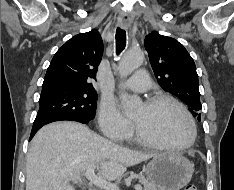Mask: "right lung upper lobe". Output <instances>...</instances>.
I'll use <instances>...</instances> for the list:
<instances>
[{
	"label": "right lung upper lobe",
	"mask_w": 234,
	"mask_h": 190,
	"mask_svg": "<svg viewBox=\"0 0 234 190\" xmlns=\"http://www.w3.org/2000/svg\"><path fill=\"white\" fill-rule=\"evenodd\" d=\"M103 54V41L95 29L75 35L55 53L42 86L65 85L94 89L97 67Z\"/></svg>",
	"instance_id": "right-lung-upper-lobe-1"
}]
</instances>
